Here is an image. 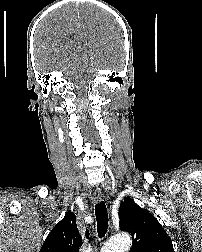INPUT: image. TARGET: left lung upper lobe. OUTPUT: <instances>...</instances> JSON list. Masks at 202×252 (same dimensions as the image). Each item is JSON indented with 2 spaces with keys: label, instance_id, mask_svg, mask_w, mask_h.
<instances>
[{
  "label": "left lung upper lobe",
  "instance_id": "1",
  "mask_svg": "<svg viewBox=\"0 0 202 252\" xmlns=\"http://www.w3.org/2000/svg\"><path fill=\"white\" fill-rule=\"evenodd\" d=\"M120 229L131 233L130 252H174L173 244L158 220L130 197L119 208Z\"/></svg>",
  "mask_w": 202,
  "mask_h": 252
}]
</instances>
